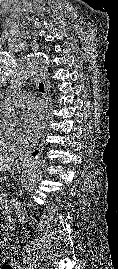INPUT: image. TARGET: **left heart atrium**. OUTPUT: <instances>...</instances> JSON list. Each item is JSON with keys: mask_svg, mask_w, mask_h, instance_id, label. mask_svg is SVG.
Wrapping results in <instances>:
<instances>
[{"mask_svg": "<svg viewBox=\"0 0 118 269\" xmlns=\"http://www.w3.org/2000/svg\"><path fill=\"white\" fill-rule=\"evenodd\" d=\"M23 127L29 137L34 140L40 136L48 122L46 106L40 101L27 105L22 114Z\"/></svg>", "mask_w": 118, "mask_h": 269, "instance_id": "1", "label": "left heart atrium"}]
</instances>
